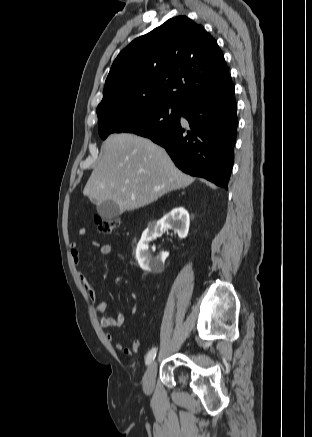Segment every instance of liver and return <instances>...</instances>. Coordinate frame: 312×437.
Returning a JSON list of instances; mask_svg holds the SVG:
<instances>
[{
	"label": "liver",
	"mask_w": 312,
	"mask_h": 437,
	"mask_svg": "<svg viewBox=\"0 0 312 437\" xmlns=\"http://www.w3.org/2000/svg\"><path fill=\"white\" fill-rule=\"evenodd\" d=\"M193 181L151 140L128 133L111 134L102 145V156L83 194L97 205L112 200L124 212L151 204Z\"/></svg>",
	"instance_id": "6515ba94"
}]
</instances>
